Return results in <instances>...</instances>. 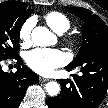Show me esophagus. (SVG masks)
Returning <instances> with one entry per match:
<instances>
[{
    "label": "esophagus",
    "mask_w": 108,
    "mask_h": 108,
    "mask_svg": "<svg viewBox=\"0 0 108 108\" xmlns=\"http://www.w3.org/2000/svg\"><path fill=\"white\" fill-rule=\"evenodd\" d=\"M39 81L40 82H47V81H49V79L44 78V77H39Z\"/></svg>",
    "instance_id": "1"
}]
</instances>
